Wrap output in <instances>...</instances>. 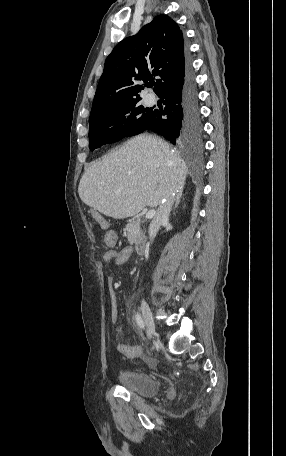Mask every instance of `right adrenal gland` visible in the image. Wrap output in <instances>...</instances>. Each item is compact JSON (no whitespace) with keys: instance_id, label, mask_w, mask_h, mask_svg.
<instances>
[{"instance_id":"obj_1","label":"right adrenal gland","mask_w":286,"mask_h":456,"mask_svg":"<svg viewBox=\"0 0 286 456\" xmlns=\"http://www.w3.org/2000/svg\"><path fill=\"white\" fill-rule=\"evenodd\" d=\"M182 196H183V191L181 190L180 193L176 197V201H175V205L173 207V211H175L177 209V207H178V205H179V203L181 201Z\"/></svg>"}]
</instances>
